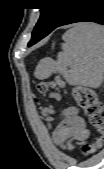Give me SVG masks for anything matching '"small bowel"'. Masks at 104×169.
<instances>
[{"label":"small bowel","mask_w":104,"mask_h":169,"mask_svg":"<svg viewBox=\"0 0 104 169\" xmlns=\"http://www.w3.org/2000/svg\"><path fill=\"white\" fill-rule=\"evenodd\" d=\"M89 138L84 119L74 108L68 109L54 132V140L59 145L71 147L73 141H84Z\"/></svg>","instance_id":"small-bowel-1"}]
</instances>
